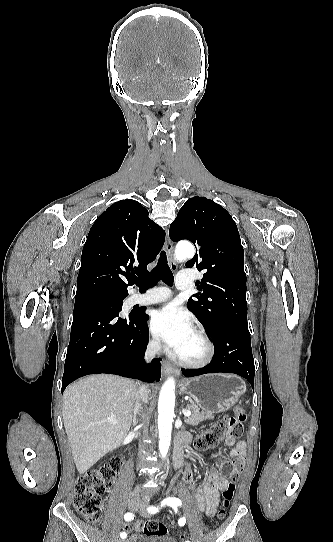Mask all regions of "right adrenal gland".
<instances>
[{
    "mask_svg": "<svg viewBox=\"0 0 333 542\" xmlns=\"http://www.w3.org/2000/svg\"><path fill=\"white\" fill-rule=\"evenodd\" d=\"M140 408H141L140 402H136L134 412H133V414H134V416H133V424H136V422H137V414H139Z\"/></svg>",
    "mask_w": 333,
    "mask_h": 542,
    "instance_id": "obj_1",
    "label": "right adrenal gland"
}]
</instances>
